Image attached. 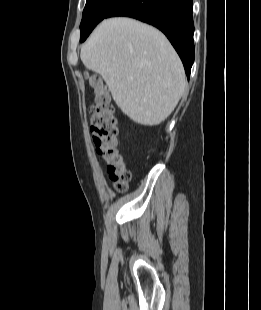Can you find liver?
Returning <instances> with one entry per match:
<instances>
[{
    "label": "liver",
    "mask_w": 261,
    "mask_h": 310,
    "mask_svg": "<svg viewBox=\"0 0 261 310\" xmlns=\"http://www.w3.org/2000/svg\"><path fill=\"white\" fill-rule=\"evenodd\" d=\"M80 58L101 75L121 111L145 126L163 122L186 88L182 62L168 39L131 18L102 21L82 46Z\"/></svg>",
    "instance_id": "obj_1"
}]
</instances>
